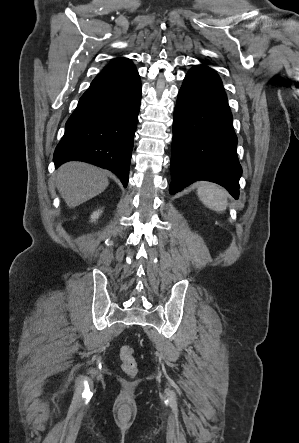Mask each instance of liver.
Instances as JSON below:
<instances>
[{
  "mask_svg": "<svg viewBox=\"0 0 299 443\" xmlns=\"http://www.w3.org/2000/svg\"><path fill=\"white\" fill-rule=\"evenodd\" d=\"M108 184V178L100 168L84 162L64 163L56 173V187L69 208L97 196Z\"/></svg>",
  "mask_w": 299,
  "mask_h": 443,
  "instance_id": "1",
  "label": "liver"
}]
</instances>
